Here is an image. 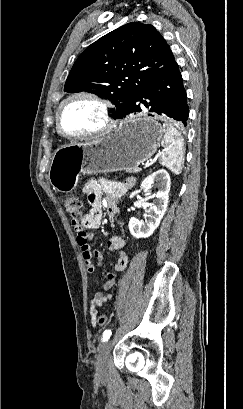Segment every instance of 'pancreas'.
I'll return each mask as SVG.
<instances>
[{"instance_id": "cf45deb5", "label": "pancreas", "mask_w": 243, "mask_h": 409, "mask_svg": "<svg viewBox=\"0 0 243 409\" xmlns=\"http://www.w3.org/2000/svg\"><path fill=\"white\" fill-rule=\"evenodd\" d=\"M126 171L129 172V173H138L139 171H141V169L140 168H134V169L126 170Z\"/></svg>"}]
</instances>
